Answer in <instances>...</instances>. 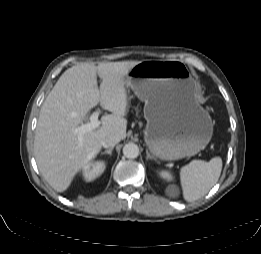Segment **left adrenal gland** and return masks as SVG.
Wrapping results in <instances>:
<instances>
[{"label":"left adrenal gland","mask_w":261,"mask_h":254,"mask_svg":"<svg viewBox=\"0 0 261 254\" xmlns=\"http://www.w3.org/2000/svg\"><path fill=\"white\" fill-rule=\"evenodd\" d=\"M146 155H147V157H146L147 160H153V159H154V158L150 155V153L148 152V150H146Z\"/></svg>","instance_id":"a2214340"}]
</instances>
